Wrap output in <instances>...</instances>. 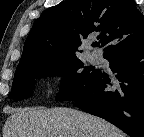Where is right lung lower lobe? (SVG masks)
I'll return each instance as SVG.
<instances>
[{"label": "right lung lower lobe", "mask_w": 144, "mask_h": 137, "mask_svg": "<svg viewBox=\"0 0 144 137\" xmlns=\"http://www.w3.org/2000/svg\"><path fill=\"white\" fill-rule=\"evenodd\" d=\"M105 58L116 79L100 71L74 105L131 137H144V41Z\"/></svg>", "instance_id": "obj_1"}]
</instances>
